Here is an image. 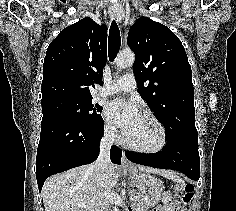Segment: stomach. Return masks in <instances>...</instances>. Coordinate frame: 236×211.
<instances>
[{
	"label": "stomach",
	"mask_w": 236,
	"mask_h": 211,
	"mask_svg": "<svg viewBox=\"0 0 236 211\" xmlns=\"http://www.w3.org/2000/svg\"><path fill=\"white\" fill-rule=\"evenodd\" d=\"M131 180L136 184L142 202L146 207H154L160 200L163 186L150 174L136 166L128 170Z\"/></svg>",
	"instance_id": "0dacf381"
}]
</instances>
